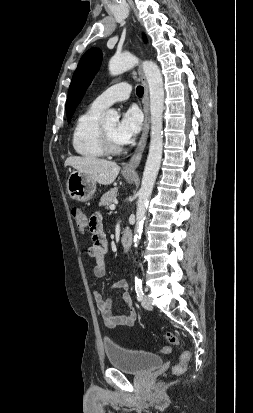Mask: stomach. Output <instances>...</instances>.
<instances>
[{
    "mask_svg": "<svg viewBox=\"0 0 253 413\" xmlns=\"http://www.w3.org/2000/svg\"><path fill=\"white\" fill-rule=\"evenodd\" d=\"M124 178L132 183V175H124ZM66 187L69 196L77 201L85 202L92 198L96 191V182L83 172L72 171L67 179Z\"/></svg>",
    "mask_w": 253,
    "mask_h": 413,
    "instance_id": "obj_1",
    "label": "stomach"
}]
</instances>
